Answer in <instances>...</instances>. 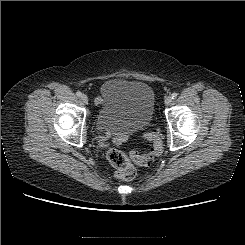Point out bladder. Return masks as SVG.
Instances as JSON below:
<instances>
[{"label": "bladder", "mask_w": 245, "mask_h": 245, "mask_svg": "<svg viewBox=\"0 0 245 245\" xmlns=\"http://www.w3.org/2000/svg\"><path fill=\"white\" fill-rule=\"evenodd\" d=\"M103 102L94 125L119 131L142 129L154 119L155 94L143 82L111 79L101 87Z\"/></svg>", "instance_id": "obj_1"}]
</instances>
